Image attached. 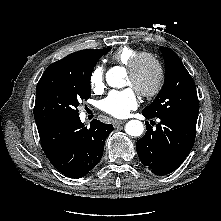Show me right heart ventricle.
<instances>
[{
    "mask_svg": "<svg viewBox=\"0 0 221 221\" xmlns=\"http://www.w3.org/2000/svg\"><path fill=\"white\" fill-rule=\"evenodd\" d=\"M139 52L140 51L135 48L123 46L113 53L111 60L115 63L128 67L133 57Z\"/></svg>",
    "mask_w": 221,
    "mask_h": 221,
    "instance_id": "e07e8e85",
    "label": "right heart ventricle"
}]
</instances>
